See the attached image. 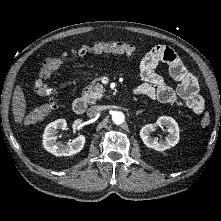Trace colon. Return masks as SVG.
<instances>
[{"label": "colon", "mask_w": 221, "mask_h": 221, "mask_svg": "<svg viewBox=\"0 0 221 221\" xmlns=\"http://www.w3.org/2000/svg\"><path fill=\"white\" fill-rule=\"evenodd\" d=\"M116 53V54H133L136 47L128 42L113 40L109 42H95L92 44L82 45L80 48L73 50L74 54L85 55L87 53ZM52 56L48 58L39 70L38 77L33 83L34 91L47 98V101L36 110L30 112L24 119L26 125L36 123L45 118L56 107L57 90L46 85L43 80L50 77L63 63L66 56ZM212 123V117L206 113L200 121L201 127L209 129Z\"/></svg>", "instance_id": "colon-1"}]
</instances>
